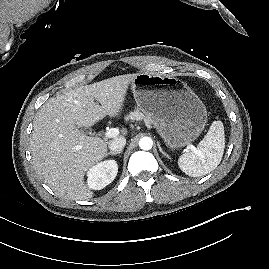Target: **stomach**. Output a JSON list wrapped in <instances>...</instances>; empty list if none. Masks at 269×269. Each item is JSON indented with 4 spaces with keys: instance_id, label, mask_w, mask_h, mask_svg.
I'll list each match as a JSON object with an SVG mask.
<instances>
[{
    "instance_id": "1",
    "label": "stomach",
    "mask_w": 269,
    "mask_h": 269,
    "mask_svg": "<svg viewBox=\"0 0 269 269\" xmlns=\"http://www.w3.org/2000/svg\"><path fill=\"white\" fill-rule=\"evenodd\" d=\"M131 85L138 108L170 149L184 147L204 129L206 107L181 80L144 72Z\"/></svg>"
}]
</instances>
